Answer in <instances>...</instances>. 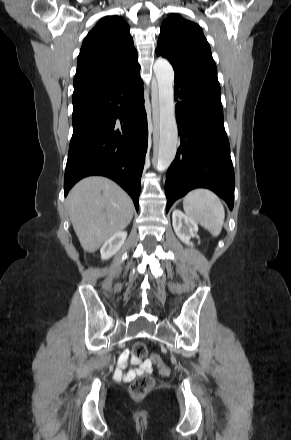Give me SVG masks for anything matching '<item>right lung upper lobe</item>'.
<instances>
[{
  "mask_svg": "<svg viewBox=\"0 0 291 440\" xmlns=\"http://www.w3.org/2000/svg\"><path fill=\"white\" fill-rule=\"evenodd\" d=\"M139 70L128 24L119 16H106L83 41L77 59L74 91L113 84Z\"/></svg>",
  "mask_w": 291,
  "mask_h": 440,
  "instance_id": "obj_1",
  "label": "right lung upper lobe"
}]
</instances>
